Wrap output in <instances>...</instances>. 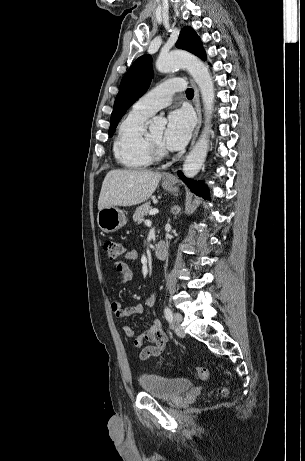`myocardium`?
Instances as JSON below:
<instances>
[{
    "label": "myocardium",
    "mask_w": 305,
    "mask_h": 461,
    "mask_svg": "<svg viewBox=\"0 0 305 461\" xmlns=\"http://www.w3.org/2000/svg\"><path fill=\"white\" fill-rule=\"evenodd\" d=\"M146 145L151 157L154 160H160L167 156V151L164 146L156 144L147 133L145 137Z\"/></svg>",
    "instance_id": "f54148a6"
}]
</instances>
